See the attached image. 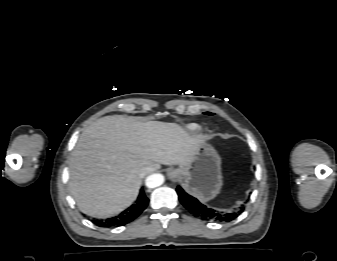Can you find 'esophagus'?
<instances>
[{
    "instance_id": "obj_1",
    "label": "esophagus",
    "mask_w": 337,
    "mask_h": 261,
    "mask_svg": "<svg viewBox=\"0 0 337 261\" xmlns=\"http://www.w3.org/2000/svg\"><path fill=\"white\" fill-rule=\"evenodd\" d=\"M169 177L172 179V180H176L177 176H178V173L177 171L175 170H172L168 173Z\"/></svg>"
}]
</instances>
